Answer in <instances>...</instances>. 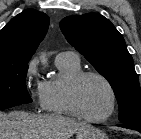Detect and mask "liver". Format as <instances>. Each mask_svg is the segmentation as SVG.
I'll use <instances>...</instances> for the list:
<instances>
[{
	"mask_svg": "<svg viewBox=\"0 0 141 139\" xmlns=\"http://www.w3.org/2000/svg\"><path fill=\"white\" fill-rule=\"evenodd\" d=\"M87 126L90 125L60 114L0 112V139H70Z\"/></svg>",
	"mask_w": 141,
	"mask_h": 139,
	"instance_id": "obj_1",
	"label": "liver"
}]
</instances>
